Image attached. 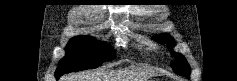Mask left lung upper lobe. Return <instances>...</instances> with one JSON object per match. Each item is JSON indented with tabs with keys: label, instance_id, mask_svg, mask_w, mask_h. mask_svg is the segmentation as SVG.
Wrapping results in <instances>:
<instances>
[{
	"label": "left lung upper lobe",
	"instance_id": "1",
	"mask_svg": "<svg viewBox=\"0 0 237 81\" xmlns=\"http://www.w3.org/2000/svg\"><path fill=\"white\" fill-rule=\"evenodd\" d=\"M155 40L164 44L167 42L168 48L171 50L172 47L175 45V41L171 36H167L166 34H161L155 37ZM171 54L176 58V61L171 62V67L175 73L189 77L190 74V66L187 63L185 57L179 53L171 52Z\"/></svg>",
	"mask_w": 237,
	"mask_h": 81
}]
</instances>
